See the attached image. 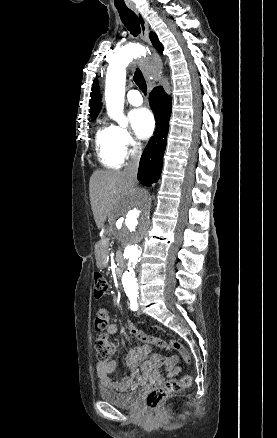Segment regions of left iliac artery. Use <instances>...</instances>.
Wrapping results in <instances>:
<instances>
[{
	"label": "left iliac artery",
	"mask_w": 277,
	"mask_h": 438,
	"mask_svg": "<svg viewBox=\"0 0 277 438\" xmlns=\"http://www.w3.org/2000/svg\"><path fill=\"white\" fill-rule=\"evenodd\" d=\"M130 308L132 311H136L138 308L137 295H129Z\"/></svg>",
	"instance_id": "left-iliac-artery-1"
}]
</instances>
